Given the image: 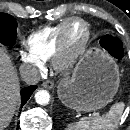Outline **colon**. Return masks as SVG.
I'll use <instances>...</instances> for the list:
<instances>
[{
  "instance_id": "1",
  "label": "colon",
  "mask_w": 130,
  "mask_h": 130,
  "mask_svg": "<svg viewBox=\"0 0 130 130\" xmlns=\"http://www.w3.org/2000/svg\"><path fill=\"white\" fill-rule=\"evenodd\" d=\"M102 46L107 52L116 58H120L123 55V46L121 42L111 35H105L102 38Z\"/></svg>"
}]
</instances>
